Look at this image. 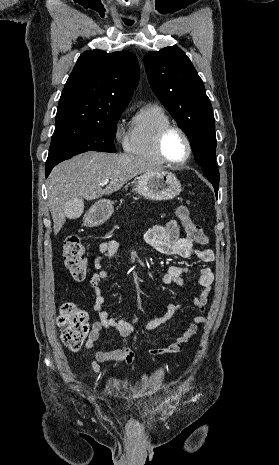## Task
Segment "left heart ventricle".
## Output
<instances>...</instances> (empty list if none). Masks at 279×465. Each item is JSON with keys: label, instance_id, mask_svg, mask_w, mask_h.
Listing matches in <instances>:
<instances>
[{"label": "left heart ventricle", "instance_id": "b2bd125f", "mask_svg": "<svg viewBox=\"0 0 279 465\" xmlns=\"http://www.w3.org/2000/svg\"><path fill=\"white\" fill-rule=\"evenodd\" d=\"M165 155L172 161H181L186 157L187 145L182 135L171 131L164 140Z\"/></svg>", "mask_w": 279, "mask_h": 465}]
</instances>
